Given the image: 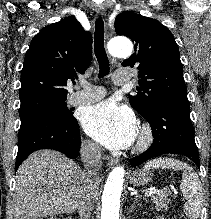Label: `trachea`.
<instances>
[{"mask_svg": "<svg viewBox=\"0 0 211 219\" xmlns=\"http://www.w3.org/2000/svg\"><path fill=\"white\" fill-rule=\"evenodd\" d=\"M94 52L99 63L98 77L101 78L110 71L109 59L104 48V22L101 17L95 23Z\"/></svg>", "mask_w": 211, "mask_h": 219, "instance_id": "trachea-1", "label": "trachea"}]
</instances>
